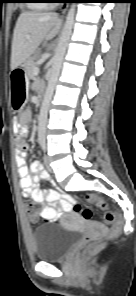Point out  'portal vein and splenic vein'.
I'll list each match as a JSON object with an SVG mask.
<instances>
[{
  "mask_svg": "<svg viewBox=\"0 0 136 296\" xmlns=\"http://www.w3.org/2000/svg\"><path fill=\"white\" fill-rule=\"evenodd\" d=\"M28 37H29V36H28ZM33 72H34V75H38V73H39V69H38L37 67H35Z\"/></svg>",
  "mask_w": 136,
  "mask_h": 296,
  "instance_id": "obj_1",
  "label": "portal vein and splenic vein"
}]
</instances>
